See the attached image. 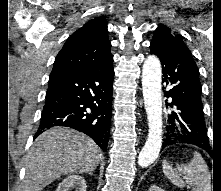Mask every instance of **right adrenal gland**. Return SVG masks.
Returning a JSON list of instances; mask_svg holds the SVG:
<instances>
[{"instance_id": "right-adrenal-gland-1", "label": "right adrenal gland", "mask_w": 221, "mask_h": 191, "mask_svg": "<svg viewBox=\"0 0 221 191\" xmlns=\"http://www.w3.org/2000/svg\"><path fill=\"white\" fill-rule=\"evenodd\" d=\"M88 174L91 175V176H94V173L92 171L89 172Z\"/></svg>"}]
</instances>
